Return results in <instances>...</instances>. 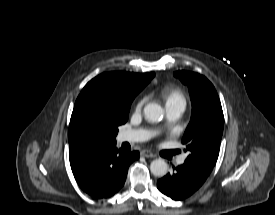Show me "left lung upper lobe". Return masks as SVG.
Listing matches in <instances>:
<instances>
[{
  "instance_id": "5c2ea615",
  "label": "left lung upper lobe",
  "mask_w": 275,
  "mask_h": 215,
  "mask_svg": "<svg viewBox=\"0 0 275 215\" xmlns=\"http://www.w3.org/2000/svg\"><path fill=\"white\" fill-rule=\"evenodd\" d=\"M189 88L191 121L182 143L189 153L185 163L210 174L216 164L223 133L224 116L218 94L209 80L197 73H174Z\"/></svg>"
}]
</instances>
